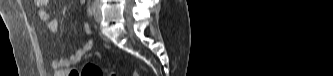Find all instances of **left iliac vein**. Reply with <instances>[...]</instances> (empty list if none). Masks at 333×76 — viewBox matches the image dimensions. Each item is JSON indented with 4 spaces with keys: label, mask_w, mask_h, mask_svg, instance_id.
Returning <instances> with one entry per match:
<instances>
[{
    "label": "left iliac vein",
    "mask_w": 333,
    "mask_h": 76,
    "mask_svg": "<svg viewBox=\"0 0 333 76\" xmlns=\"http://www.w3.org/2000/svg\"><path fill=\"white\" fill-rule=\"evenodd\" d=\"M94 19L96 22H100L102 20V15L98 7H96L94 12Z\"/></svg>",
    "instance_id": "obj_1"
}]
</instances>
